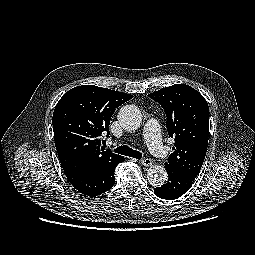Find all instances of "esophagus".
Wrapping results in <instances>:
<instances>
[{
  "mask_svg": "<svg viewBox=\"0 0 255 255\" xmlns=\"http://www.w3.org/2000/svg\"><path fill=\"white\" fill-rule=\"evenodd\" d=\"M141 164L144 165L145 167H150L153 164V161L150 158H143L141 160Z\"/></svg>",
  "mask_w": 255,
  "mask_h": 255,
  "instance_id": "34e87169",
  "label": "esophagus"
}]
</instances>
